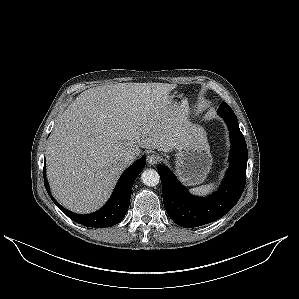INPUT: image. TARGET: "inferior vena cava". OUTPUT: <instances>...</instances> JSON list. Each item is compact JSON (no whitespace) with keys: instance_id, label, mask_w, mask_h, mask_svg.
<instances>
[{"instance_id":"1","label":"inferior vena cava","mask_w":299,"mask_h":299,"mask_svg":"<svg viewBox=\"0 0 299 299\" xmlns=\"http://www.w3.org/2000/svg\"><path fill=\"white\" fill-rule=\"evenodd\" d=\"M137 157V153L136 151L133 150H128L124 153L123 157H122V161L126 164V165H130L131 163L134 162V160Z\"/></svg>"}]
</instances>
